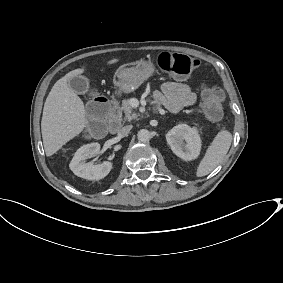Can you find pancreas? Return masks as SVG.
<instances>
[{
  "mask_svg": "<svg viewBox=\"0 0 283 283\" xmlns=\"http://www.w3.org/2000/svg\"><path fill=\"white\" fill-rule=\"evenodd\" d=\"M131 102V98H126L122 101L121 103V117H122V114L124 113V118L128 119V120H132V119H135L137 118V114L133 113V108L130 104ZM111 104H112V107L115 105V101L112 100L111 101Z\"/></svg>",
  "mask_w": 283,
  "mask_h": 283,
  "instance_id": "1",
  "label": "pancreas"
}]
</instances>
